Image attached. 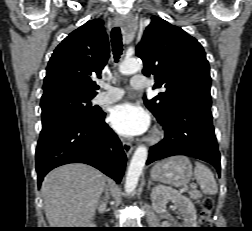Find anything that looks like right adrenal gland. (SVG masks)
Returning a JSON list of instances; mask_svg holds the SVG:
<instances>
[{"label": "right adrenal gland", "mask_w": 252, "mask_h": 231, "mask_svg": "<svg viewBox=\"0 0 252 231\" xmlns=\"http://www.w3.org/2000/svg\"><path fill=\"white\" fill-rule=\"evenodd\" d=\"M105 200H107L109 198V193H108V187L105 186Z\"/></svg>", "instance_id": "1"}]
</instances>
